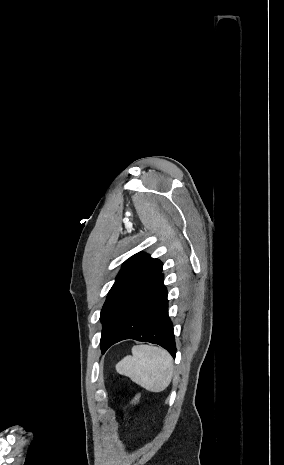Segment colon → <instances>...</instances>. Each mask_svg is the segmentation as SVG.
I'll use <instances>...</instances> for the list:
<instances>
[{"label": "colon", "mask_w": 284, "mask_h": 465, "mask_svg": "<svg viewBox=\"0 0 284 465\" xmlns=\"http://www.w3.org/2000/svg\"><path fill=\"white\" fill-rule=\"evenodd\" d=\"M139 402H140V396H139V395H136V396L134 397V403H135L136 405H139Z\"/></svg>", "instance_id": "5ec220e1"}]
</instances>
